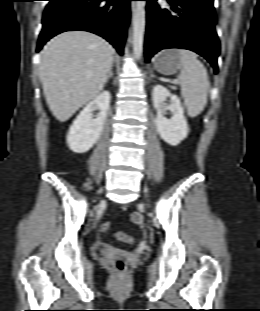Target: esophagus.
Instances as JSON below:
<instances>
[{
    "instance_id": "1",
    "label": "esophagus",
    "mask_w": 260,
    "mask_h": 311,
    "mask_svg": "<svg viewBox=\"0 0 260 311\" xmlns=\"http://www.w3.org/2000/svg\"><path fill=\"white\" fill-rule=\"evenodd\" d=\"M132 10L134 11V6L132 5Z\"/></svg>"
}]
</instances>
